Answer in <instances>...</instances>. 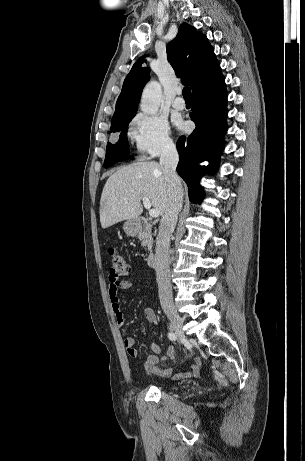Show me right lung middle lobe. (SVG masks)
<instances>
[{
  "label": "right lung middle lobe",
  "mask_w": 305,
  "mask_h": 461,
  "mask_svg": "<svg viewBox=\"0 0 305 461\" xmlns=\"http://www.w3.org/2000/svg\"><path fill=\"white\" fill-rule=\"evenodd\" d=\"M132 118L133 117L122 120L110 129L111 132H121V134L117 143L113 144L108 142L107 144L104 164L105 167L108 165L112 166L121 160L129 158L127 156L129 150L127 128Z\"/></svg>",
  "instance_id": "1"
}]
</instances>
